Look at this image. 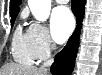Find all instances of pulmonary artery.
<instances>
[{
    "label": "pulmonary artery",
    "mask_w": 102,
    "mask_h": 75,
    "mask_svg": "<svg viewBox=\"0 0 102 75\" xmlns=\"http://www.w3.org/2000/svg\"><path fill=\"white\" fill-rule=\"evenodd\" d=\"M57 2H59V3H65V2H68V0H58Z\"/></svg>",
    "instance_id": "pulmonary-artery-1"
}]
</instances>
